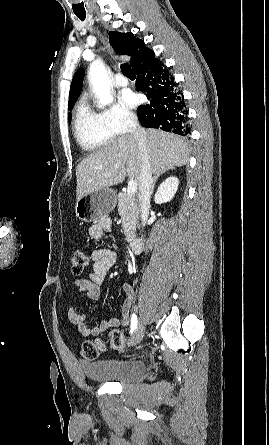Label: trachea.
<instances>
[{"mask_svg": "<svg viewBox=\"0 0 269 445\" xmlns=\"http://www.w3.org/2000/svg\"><path fill=\"white\" fill-rule=\"evenodd\" d=\"M77 17H78L81 21H83V20L85 19V16H77ZM121 71H122V73H123L126 77H128V78H131V77H134V76H135V74H134V72L132 71L130 65L127 64V63H124V64L121 65Z\"/></svg>", "mask_w": 269, "mask_h": 445, "instance_id": "1", "label": "trachea"}]
</instances>
